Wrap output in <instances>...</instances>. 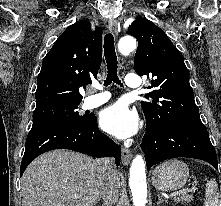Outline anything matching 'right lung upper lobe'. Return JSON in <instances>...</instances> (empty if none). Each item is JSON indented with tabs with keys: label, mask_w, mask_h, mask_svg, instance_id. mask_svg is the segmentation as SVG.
<instances>
[{
	"label": "right lung upper lobe",
	"mask_w": 221,
	"mask_h": 206,
	"mask_svg": "<svg viewBox=\"0 0 221 206\" xmlns=\"http://www.w3.org/2000/svg\"><path fill=\"white\" fill-rule=\"evenodd\" d=\"M102 61V30L90 22L69 26L45 56L37 78L36 107L80 103V87L97 77Z\"/></svg>",
	"instance_id": "obj_1"
}]
</instances>
